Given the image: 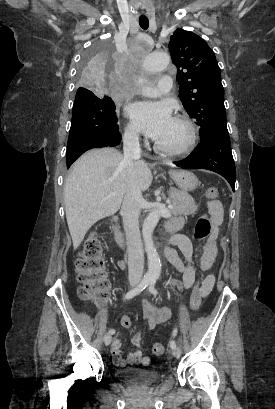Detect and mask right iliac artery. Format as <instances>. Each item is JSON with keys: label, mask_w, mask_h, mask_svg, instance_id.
Instances as JSON below:
<instances>
[{"label": "right iliac artery", "mask_w": 275, "mask_h": 409, "mask_svg": "<svg viewBox=\"0 0 275 409\" xmlns=\"http://www.w3.org/2000/svg\"><path fill=\"white\" fill-rule=\"evenodd\" d=\"M150 281L151 278L149 276H145L137 287L133 288L132 290L126 293L124 300H129L138 295L139 293H141V291H143L150 284ZM109 333L113 334L114 330H110Z\"/></svg>", "instance_id": "right-iliac-artery-1"}]
</instances>
